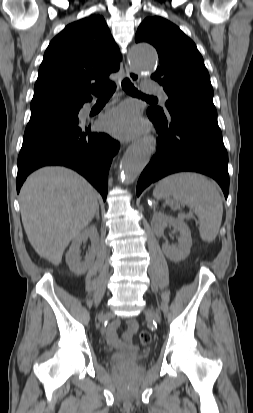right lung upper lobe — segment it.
I'll return each instance as SVG.
<instances>
[{
	"instance_id": "obj_1",
	"label": "right lung upper lobe",
	"mask_w": 253,
	"mask_h": 413,
	"mask_svg": "<svg viewBox=\"0 0 253 413\" xmlns=\"http://www.w3.org/2000/svg\"><path fill=\"white\" fill-rule=\"evenodd\" d=\"M121 56L102 16L66 26L49 44L39 68L31 114L81 108L120 68Z\"/></svg>"
}]
</instances>
